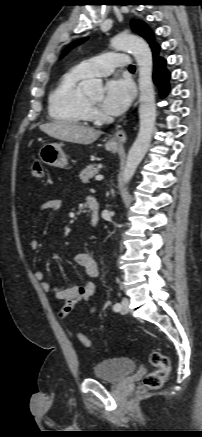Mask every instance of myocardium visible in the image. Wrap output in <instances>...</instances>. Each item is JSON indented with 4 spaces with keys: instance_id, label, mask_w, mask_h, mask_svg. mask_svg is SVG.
I'll return each mask as SVG.
<instances>
[{
    "instance_id": "1",
    "label": "myocardium",
    "mask_w": 202,
    "mask_h": 437,
    "mask_svg": "<svg viewBox=\"0 0 202 437\" xmlns=\"http://www.w3.org/2000/svg\"><path fill=\"white\" fill-rule=\"evenodd\" d=\"M87 102H88V105H89L90 109H94V108L97 107V103L93 102L89 98H87Z\"/></svg>"
}]
</instances>
